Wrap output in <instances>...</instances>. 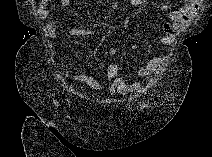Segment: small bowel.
<instances>
[{
	"instance_id": "1",
	"label": "small bowel",
	"mask_w": 212,
	"mask_h": 157,
	"mask_svg": "<svg viewBox=\"0 0 212 157\" xmlns=\"http://www.w3.org/2000/svg\"><path fill=\"white\" fill-rule=\"evenodd\" d=\"M71 3V0H61V5L63 7H68ZM48 1H41L38 6V16L45 20L48 18L49 12L47 9ZM198 8V4L195 1H187L178 9H175L170 12L168 20L162 24L163 37L158 40V43L165 46H171L176 41L177 34L185 28L188 22L195 15ZM47 30L49 35L55 39L62 30L59 29L57 21L55 19L51 20L47 24ZM70 37H80L95 34L96 32L90 28H68L63 31ZM75 54H78V51L72 50ZM114 54V50L111 51V55ZM169 61V55L164 53L159 56L153 57L147 61V63L136 70V76L138 78H146L154 74L162 65L166 64ZM119 67L111 63L107 67L106 78L111 82L110 92L123 93L130 89H136L139 87V83L134 81H127L119 76ZM74 80L77 83H85L90 90L98 91L103 88V84L98 80L94 79L88 74L82 73L74 77Z\"/></svg>"
}]
</instances>
